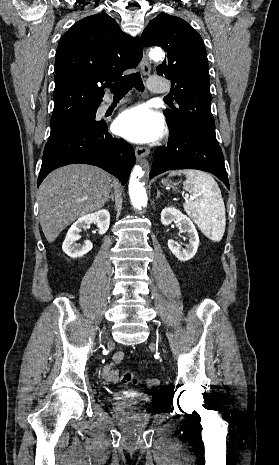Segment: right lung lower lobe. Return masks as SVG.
<instances>
[{
    "mask_svg": "<svg viewBox=\"0 0 279 465\" xmlns=\"http://www.w3.org/2000/svg\"><path fill=\"white\" fill-rule=\"evenodd\" d=\"M93 110H97L93 109ZM136 162L134 149L108 133L106 122L78 132L44 153L38 185L54 169L72 163L91 164L116 176L124 185Z\"/></svg>",
    "mask_w": 279,
    "mask_h": 465,
    "instance_id": "1",
    "label": "right lung lower lobe"
}]
</instances>
